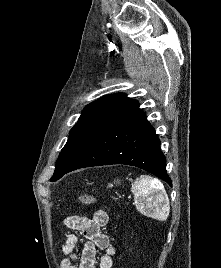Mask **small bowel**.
<instances>
[{
	"label": "small bowel",
	"instance_id": "c3829d8e",
	"mask_svg": "<svg viewBox=\"0 0 221 268\" xmlns=\"http://www.w3.org/2000/svg\"><path fill=\"white\" fill-rule=\"evenodd\" d=\"M109 224V216L104 210L96 211L91 218L86 216H70L65 220V225L79 231L86 238L79 264L76 265V248L78 238L69 234L62 246V252L67 256L61 262V268H112L115 249L110 237L103 232ZM102 249L105 254L97 261V250Z\"/></svg>",
	"mask_w": 221,
	"mask_h": 268
}]
</instances>
